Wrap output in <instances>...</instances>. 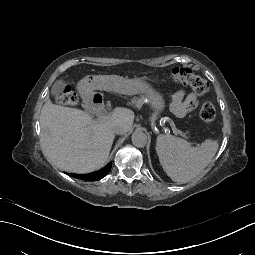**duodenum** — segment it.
Here are the masks:
<instances>
[{"mask_svg":"<svg viewBox=\"0 0 255 255\" xmlns=\"http://www.w3.org/2000/svg\"><path fill=\"white\" fill-rule=\"evenodd\" d=\"M85 109L92 115L100 117L105 113V104L102 96L96 92L89 83L79 87Z\"/></svg>","mask_w":255,"mask_h":255,"instance_id":"duodenum-1","label":"duodenum"}]
</instances>
